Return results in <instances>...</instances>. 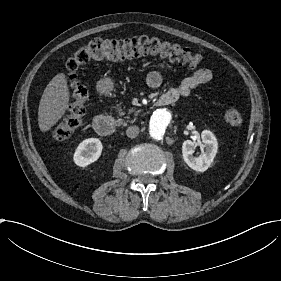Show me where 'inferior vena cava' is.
Wrapping results in <instances>:
<instances>
[{
	"label": "inferior vena cava",
	"mask_w": 281,
	"mask_h": 281,
	"mask_svg": "<svg viewBox=\"0 0 281 281\" xmlns=\"http://www.w3.org/2000/svg\"><path fill=\"white\" fill-rule=\"evenodd\" d=\"M139 134V127L138 126H130L126 130V135L129 138H135Z\"/></svg>",
	"instance_id": "1"
}]
</instances>
